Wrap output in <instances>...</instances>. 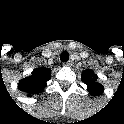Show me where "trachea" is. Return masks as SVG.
<instances>
[{
	"label": "trachea",
	"mask_w": 124,
	"mask_h": 124,
	"mask_svg": "<svg viewBox=\"0 0 124 124\" xmlns=\"http://www.w3.org/2000/svg\"><path fill=\"white\" fill-rule=\"evenodd\" d=\"M60 60L62 62H67L69 60V53L67 51H63L60 55Z\"/></svg>",
	"instance_id": "trachea-1"
}]
</instances>
